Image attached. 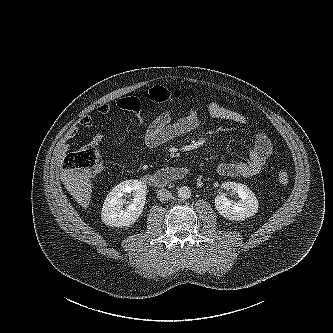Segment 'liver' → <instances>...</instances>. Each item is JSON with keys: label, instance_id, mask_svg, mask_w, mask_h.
Listing matches in <instances>:
<instances>
[{"label": "liver", "instance_id": "1", "mask_svg": "<svg viewBox=\"0 0 333 333\" xmlns=\"http://www.w3.org/2000/svg\"><path fill=\"white\" fill-rule=\"evenodd\" d=\"M82 171V172H81ZM91 175L80 169L66 168L60 173V179L67 191L84 209L88 208L91 200Z\"/></svg>", "mask_w": 333, "mask_h": 333}]
</instances>
